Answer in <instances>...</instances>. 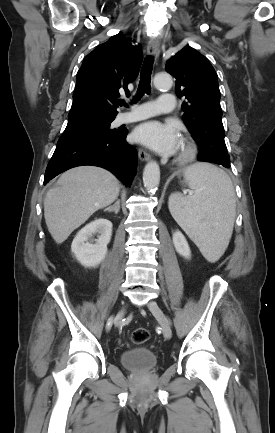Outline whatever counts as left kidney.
<instances>
[{
	"instance_id": "5707ae66",
	"label": "left kidney",
	"mask_w": 275,
	"mask_h": 433,
	"mask_svg": "<svg viewBox=\"0 0 275 433\" xmlns=\"http://www.w3.org/2000/svg\"><path fill=\"white\" fill-rule=\"evenodd\" d=\"M173 244L176 251L185 258L191 257L190 248L184 235L177 231L173 234Z\"/></svg>"
}]
</instances>
